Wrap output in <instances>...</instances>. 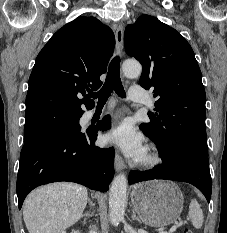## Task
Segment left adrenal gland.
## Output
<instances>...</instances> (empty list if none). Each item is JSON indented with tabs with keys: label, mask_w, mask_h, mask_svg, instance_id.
I'll return each mask as SVG.
<instances>
[{
	"label": "left adrenal gland",
	"mask_w": 227,
	"mask_h": 233,
	"mask_svg": "<svg viewBox=\"0 0 227 233\" xmlns=\"http://www.w3.org/2000/svg\"><path fill=\"white\" fill-rule=\"evenodd\" d=\"M132 220H136L138 222H141L140 219L136 216L135 210H132Z\"/></svg>",
	"instance_id": "1"
}]
</instances>
